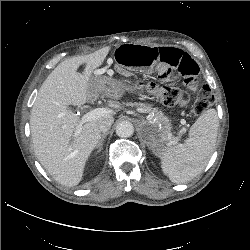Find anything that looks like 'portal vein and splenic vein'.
<instances>
[{"instance_id":"portal-vein-and-splenic-vein-1","label":"portal vein and splenic vein","mask_w":250,"mask_h":250,"mask_svg":"<svg viewBox=\"0 0 250 250\" xmlns=\"http://www.w3.org/2000/svg\"><path fill=\"white\" fill-rule=\"evenodd\" d=\"M138 110L140 112H144V110H142V109H138ZM108 113H109V110H107L106 108H96V109H93V110L87 112L79 120V124L77 126L75 134H79L81 132V129H82V126H83L84 123H86L88 121L95 120L97 118H100V117H102V116H104V115H106ZM170 142L174 143V144L178 143V141L175 138H173Z\"/></svg>"}]
</instances>
